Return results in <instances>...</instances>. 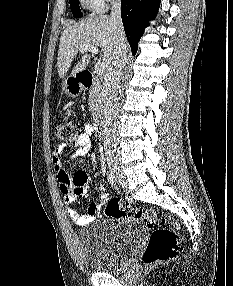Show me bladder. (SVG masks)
I'll list each match as a JSON object with an SVG mask.
<instances>
[{"mask_svg":"<svg viewBox=\"0 0 233 286\" xmlns=\"http://www.w3.org/2000/svg\"><path fill=\"white\" fill-rule=\"evenodd\" d=\"M145 231V224L133 218L93 223L79 233L81 256L96 272L121 270L128 264Z\"/></svg>","mask_w":233,"mask_h":286,"instance_id":"1","label":"bladder"}]
</instances>
